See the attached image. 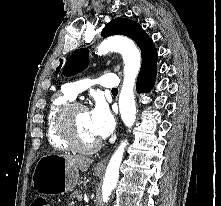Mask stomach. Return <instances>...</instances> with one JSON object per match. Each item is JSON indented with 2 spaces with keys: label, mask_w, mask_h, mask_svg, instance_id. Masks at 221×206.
I'll return each instance as SVG.
<instances>
[{
  "label": "stomach",
  "mask_w": 221,
  "mask_h": 206,
  "mask_svg": "<svg viewBox=\"0 0 221 206\" xmlns=\"http://www.w3.org/2000/svg\"><path fill=\"white\" fill-rule=\"evenodd\" d=\"M95 175H100L95 173ZM79 180L78 169L69 165L62 155H45L37 162L32 186L42 194L60 195L71 191Z\"/></svg>",
  "instance_id": "obj_1"
}]
</instances>
